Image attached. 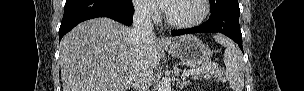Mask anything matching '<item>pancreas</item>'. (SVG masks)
Instances as JSON below:
<instances>
[{"label": "pancreas", "instance_id": "pancreas-1", "mask_svg": "<svg viewBox=\"0 0 304 91\" xmlns=\"http://www.w3.org/2000/svg\"><path fill=\"white\" fill-rule=\"evenodd\" d=\"M222 71L219 69H205L204 71L197 73V74H193L191 75V77L193 79H201V78H206V79H210L212 77H220Z\"/></svg>", "mask_w": 304, "mask_h": 91}]
</instances>
